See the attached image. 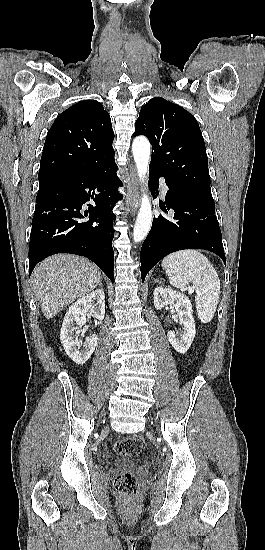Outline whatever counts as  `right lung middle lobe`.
Listing matches in <instances>:
<instances>
[{
  "label": "right lung middle lobe",
  "mask_w": 265,
  "mask_h": 550,
  "mask_svg": "<svg viewBox=\"0 0 265 550\" xmlns=\"http://www.w3.org/2000/svg\"><path fill=\"white\" fill-rule=\"evenodd\" d=\"M51 186H52V185L40 186L37 195L41 194L42 192H44L45 190H47V189L50 188Z\"/></svg>",
  "instance_id": "1"
}]
</instances>
